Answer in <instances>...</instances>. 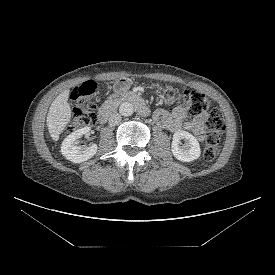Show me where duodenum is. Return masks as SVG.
Here are the masks:
<instances>
[{"label": "duodenum", "instance_id": "obj_1", "mask_svg": "<svg viewBox=\"0 0 275 275\" xmlns=\"http://www.w3.org/2000/svg\"><path fill=\"white\" fill-rule=\"evenodd\" d=\"M121 102H129L135 105L138 111L146 116L149 114L148 106L146 105L144 99L137 93L128 92L122 94L119 98L115 100H111L107 102L99 111L98 114V121L101 124L107 122L109 117L114 113L115 109L117 108L118 104Z\"/></svg>", "mask_w": 275, "mask_h": 275}]
</instances>
